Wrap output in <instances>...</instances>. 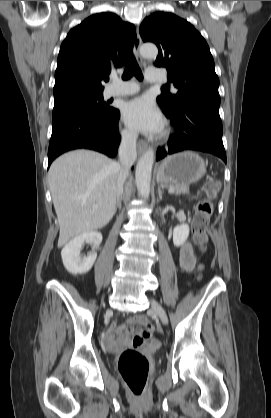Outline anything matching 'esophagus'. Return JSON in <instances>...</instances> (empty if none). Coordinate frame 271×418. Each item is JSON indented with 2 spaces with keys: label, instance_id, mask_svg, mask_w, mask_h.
<instances>
[{
  "label": "esophagus",
  "instance_id": "esophagus-1",
  "mask_svg": "<svg viewBox=\"0 0 271 418\" xmlns=\"http://www.w3.org/2000/svg\"><path fill=\"white\" fill-rule=\"evenodd\" d=\"M141 37L138 28L136 29V39L134 42V54L139 64H143V59L140 55ZM147 148V143L144 140H140L137 145L138 153H142Z\"/></svg>",
  "mask_w": 271,
  "mask_h": 418
}]
</instances>
